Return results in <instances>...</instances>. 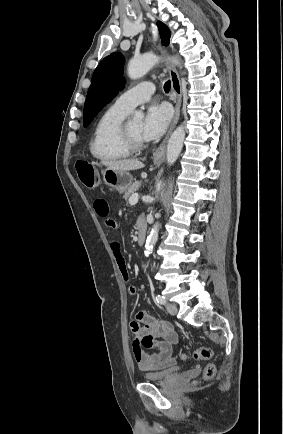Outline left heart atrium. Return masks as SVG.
Returning <instances> with one entry per match:
<instances>
[{"label": "left heart atrium", "mask_w": 283, "mask_h": 434, "mask_svg": "<svg viewBox=\"0 0 283 434\" xmlns=\"http://www.w3.org/2000/svg\"><path fill=\"white\" fill-rule=\"evenodd\" d=\"M171 119V110L166 104L151 105L142 121L141 138L156 140L163 135Z\"/></svg>", "instance_id": "left-heart-atrium-1"}]
</instances>
